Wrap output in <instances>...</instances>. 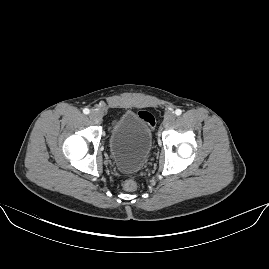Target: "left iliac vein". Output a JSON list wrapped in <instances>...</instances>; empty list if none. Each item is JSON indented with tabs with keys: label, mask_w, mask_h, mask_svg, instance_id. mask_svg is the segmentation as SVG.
I'll return each instance as SVG.
<instances>
[{
	"label": "left iliac vein",
	"mask_w": 269,
	"mask_h": 269,
	"mask_svg": "<svg viewBox=\"0 0 269 269\" xmlns=\"http://www.w3.org/2000/svg\"><path fill=\"white\" fill-rule=\"evenodd\" d=\"M175 121V115L173 112L165 113L163 125L164 127H170Z\"/></svg>",
	"instance_id": "left-iliac-vein-1"
}]
</instances>
